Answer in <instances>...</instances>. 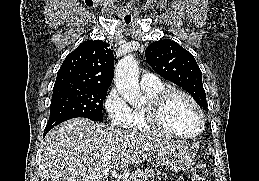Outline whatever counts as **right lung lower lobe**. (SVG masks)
Listing matches in <instances>:
<instances>
[{
    "instance_id": "right-lung-lower-lobe-1",
    "label": "right lung lower lobe",
    "mask_w": 259,
    "mask_h": 181,
    "mask_svg": "<svg viewBox=\"0 0 259 181\" xmlns=\"http://www.w3.org/2000/svg\"><path fill=\"white\" fill-rule=\"evenodd\" d=\"M48 131H49V130H45V131H44V136H45V134H46Z\"/></svg>"
}]
</instances>
